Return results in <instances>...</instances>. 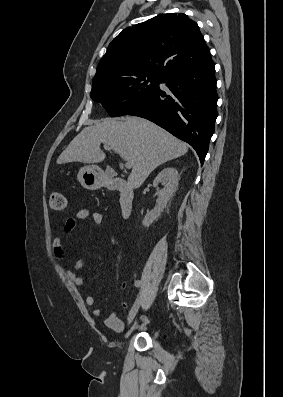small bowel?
I'll use <instances>...</instances> for the list:
<instances>
[{"mask_svg":"<svg viewBox=\"0 0 283 397\" xmlns=\"http://www.w3.org/2000/svg\"><path fill=\"white\" fill-rule=\"evenodd\" d=\"M90 218L94 224L101 225L103 222V216L101 213L96 211H91L89 209L78 210L73 217H69L64 221L63 230L66 235H70L76 228L77 222L80 220H85ZM53 254L57 260H62L64 258V246L63 238L56 237L52 243ZM85 266L84 260L80 259L74 263L72 270H67V278L76 286H82L85 283V278L78 275L76 272L81 270ZM95 298L91 295L85 298V303L89 307L95 306ZM126 308V305H124ZM93 314L97 317L102 316V311L99 308L93 309ZM105 325L113 330L114 332L120 333L124 329V323L116 316L114 312L110 313L104 319Z\"/></svg>","mask_w":283,"mask_h":397,"instance_id":"c3829d8e","label":"small bowel"}]
</instances>
